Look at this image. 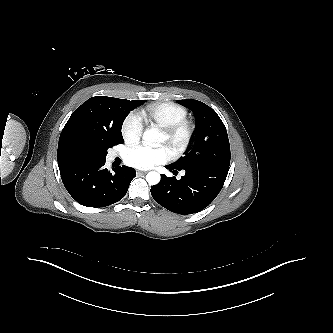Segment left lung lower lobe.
<instances>
[{
	"instance_id": "left-lung-lower-lobe-1",
	"label": "left lung lower lobe",
	"mask_w": 333,
	"mask_h": 333,
	"mask_svg": "<svg viewBox=\"0 0 333 333\" xmlns=\"http://www.w3.org/2000/svg\"><path fill=\"white\" fill-rule=\"evenodd\" d=\"M165 167L174 174L184 170L185 175L177 180L162 174L159 184L151 187L152 197L164 208L182 215L206 208L221 191L229 171V167L212 164L187 169Z\"/></svg>"
}]
</instances>
